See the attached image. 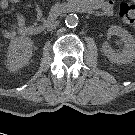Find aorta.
<instances>
[{
	"mask_svg": "<svg viewBox=\"0 0 135 135\" xmlns=\"http://www.w3.org/2000/svg\"><path fill=\"white\" fill-rule=\"evenodd\" d=\"M67 27L74 28L79 23V18L76 14H68L65 18Z\"/></svg>",
	"mask_w": 135,
	"mask_h": 135,
	"instance_id": "762f6f07",
	"label": "aorta"
}]
</instances>
